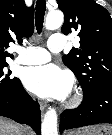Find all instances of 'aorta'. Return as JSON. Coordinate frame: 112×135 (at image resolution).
Masks as SVG:
<instances>
[{
	"label": "aorta",
	"instance_id": "aorta-1",
	"mask_svg": "<svg viewBox=\"0 0 112 135\" xmlns=\"http://www.w3.org/2000/svg\"><path fill=\"white\" fill-rule=\"evenodd\" d=\"M63 21L64 15L61 11L51 12L46 17L45 27L48 30H55L63 24ZM57 122V112L54 108L50 107L42 120L41 135H58Z\"/></svg>",
	"mask_w": 112,
	"mask_h": 135
}]
</instances>
